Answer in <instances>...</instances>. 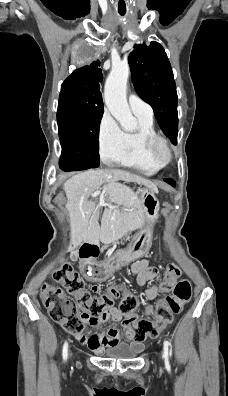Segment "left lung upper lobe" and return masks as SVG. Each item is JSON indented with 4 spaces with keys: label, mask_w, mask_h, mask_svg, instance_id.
<instances>
[{
    "label": "left lung upper lobe",
    "mask_w": 228,
    "mask_h": 396,
    "mask_svg": "<svg viewBox=\"0 0 228 396\" xmlns=\"http://www.w3.org/2000/svg\"><path fill=\"white\" fill-rule=\"evenodd\" d=\"M128 61L136 92L151 105L162 131L177 144V92L164 48L154 41L149 46L137 44Z\"/></svg>",
    "instance_id": "1"
}]
</instances>
